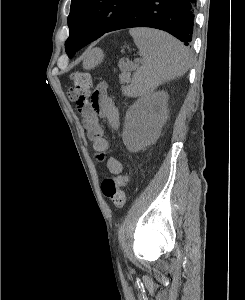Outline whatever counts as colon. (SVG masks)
<instances>
[{
	"mask_svg": "<svg viewBox=\"0 0 245 300\" xmlns=\"http://www.w3.org/2000/svg\"><path fill=\"white\" fill-rule=\"evenodd\" d=\"M92 87V78L89 73L77 71L71 75V87L67 95L71 100H78L80 95L89 91ZM132 176L131 171L128 173L112 177L107 176L102 185V190L117 208L124 207L126 196L123 188L128 184Z\"/></svg>",
	"mask_w": 245,
	"mask_h": 300,
	"instance_id": "5ec220e1",
	"label": "colon"
}]
</instances>
